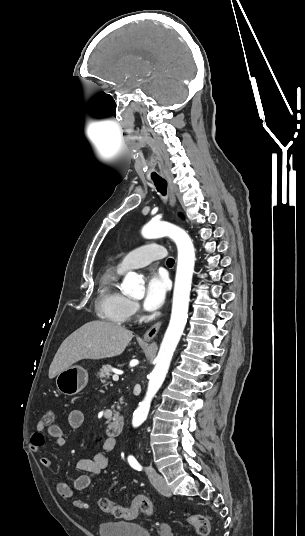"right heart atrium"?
<instances>
[{
    "label": "right heart atrium",
    "mask_w": 305,
    "mask_h": 536,
    "mask_svg": "<svg viewBox=\"0 0 305 536\" xmlns=\"http://www.w3.org/2000/svg\"><path fill=\"white\" fill-rule=\"evenodd\" d=\"M137 311V305L135 302H130L129 304V312L130 314H134Z\"/></svg>",
    "instance_id": "obj_1"
}]
</instances>
